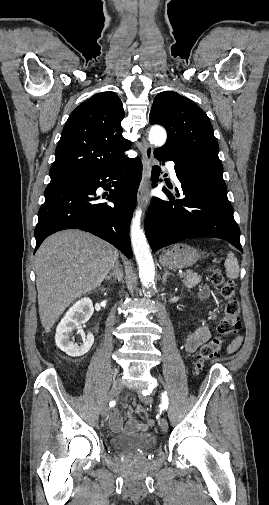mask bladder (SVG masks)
Instances as JSON below:
<instances>
[{"instance_id":"obj_1","label":"bladder","mask_w":269,"mask_h":505,"mask_svg":"<svg viewBox=\"0 0 269 505\" xmlns=\"http://www.w3.org/2000/svg\"><path fill=\"white\" fill-rule=\"evenodd\" d=\"M110 446L123 453H146L157 445V438L152 434L134 436H114L109 440Z\"/></svg>"}]
</instances>
